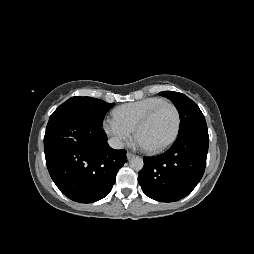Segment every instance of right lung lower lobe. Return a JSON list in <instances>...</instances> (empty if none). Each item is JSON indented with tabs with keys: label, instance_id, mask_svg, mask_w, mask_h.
I'll use <instances>...</instances> for the list:
<instances>
[{
	"label": "right lung lower lobe",
	"instance_id": "obj_1",
	"mask_svg": "<svg viewBox=\"0 0 254 254\" xmlns=\"http://www.w3.org/2000/svg\"><path fill=\"white\" fill-rule=\"evenodd\" d=\"M102 126L71 115L49 119L44 136L48 171L73 201L92 203L111 191L125 150L112 149Z\"/></svg>",
	"mask_w": 254,
	"mask_h": 254
}]
</instances>
